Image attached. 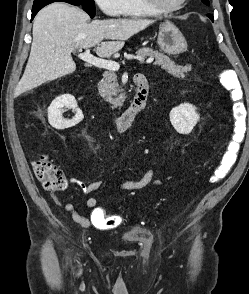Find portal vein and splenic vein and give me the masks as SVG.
<instances>
[{
	"instance_id": "18ae733b",
	"label": "portal vein and splenic vein",
	"mask_w": 249,
	"mask_h": 294,
	"mask_svg": "<svg viewBox=\"0 0 249 294\" xmlns=\"http://www.w3.org/2000/svg\"><path fill=\"white\" fill-rule=\"evenodd\" d=\"M78 57L83 60L86 61L94 66L100 67V68H105L108 70H113V71H118L120 68V64L118 62L112 61V60H105V59H101L98 57L93 56L90 53L89 49H86L85 52H81ZM139 61L143 62L144 58L143 57H138L137 58ZM154 61V58H149L146 60V63H152Z\"/></svg>"
}]
</instances>
